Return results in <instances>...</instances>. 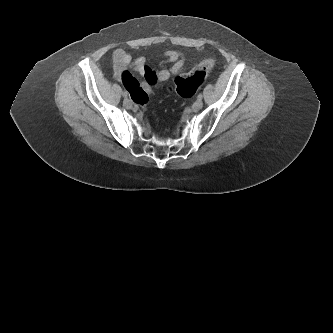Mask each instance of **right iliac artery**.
Instances as JSON below:
<instances>
[{
    "instance_id": "right-iliac-artery-1",
    "label": "right iliac artery",
    "mask_w": 333,
    "mask_h": 333,
    "mask_svg": "<svg viewBox=\"0 0 333 333\" xmlns=\"http://www.w3.org/2000/svg\"><path fill=\"white\" fill-rule=\"evenodd\" d=\"M127 92L126 91H123V96L127 97Z\"/></svg>"
}]
</instances>
